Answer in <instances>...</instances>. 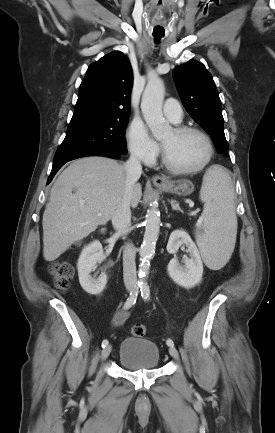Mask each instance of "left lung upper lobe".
Listing matches in <instances>:
<instances>
[{
  "instance_id": "left-lung-upper-lobe-1",
  "label": "left lung upper lobe",
  "mask_w": 275,
  "mask_h": 433,
  "mask_svg": "<svg viewBox=\"0 0 275 433\" xmlns=\"http://www.w3.org/2000/svg\"><path fill=\"white\" fill-rule=\"evenodd\" d=\"M173 78L183 105L189 115L214 141L220 153H226V141L221 113V101L211 74L205 66L189 61L173 69Z\"/></svg>"
}]
</instances>
